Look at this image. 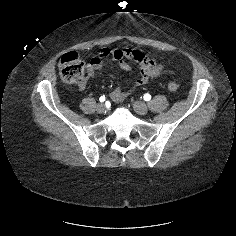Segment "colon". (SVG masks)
<instances>
[{"label":"colon","instance_id":"5ec220e1","mask_svg":"<svg viewBox=\"0 0 236 236\" xmlns=\"http://www.w3.org/2000/svg\"><path fill=\"white\" fill-rule=\"evenodd\" d=\"M58 69L61 78L71 84L81 85L86 82L89 75L85 62L76 52L64 54L59 61ZM168 88L171 91H176L179 84L172 81L168 84Z\"/></svg>","mask_w":236,"mask_h":236}]
</instances>
